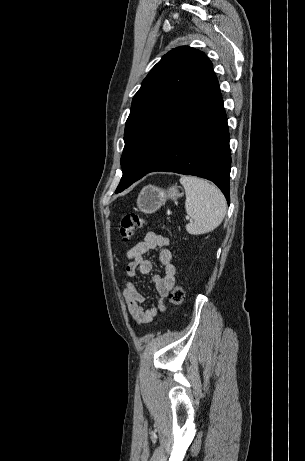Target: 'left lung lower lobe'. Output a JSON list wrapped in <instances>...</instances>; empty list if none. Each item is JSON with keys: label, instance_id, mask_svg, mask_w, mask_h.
Masks as SVG:
<instances>
[{"label": "left lung lower lobe", "instance_id": "left-lung-lower-lobe-1", "mask_svg": "<svg viewBox=\"0 0 305 461\" xmlns=\"http://www.w3.org/2000/svg\"><path fill=\"white\" fill-rule=\"evenodd\" d=\"M230 163L227 118L211 67L161 129L153 160L143 176L165 171L206 178L229 203Z\"/></svg>", "mask_w": 305, "mask_h": 461}]
</instances>
